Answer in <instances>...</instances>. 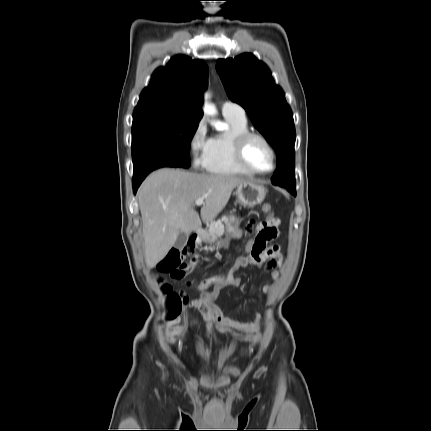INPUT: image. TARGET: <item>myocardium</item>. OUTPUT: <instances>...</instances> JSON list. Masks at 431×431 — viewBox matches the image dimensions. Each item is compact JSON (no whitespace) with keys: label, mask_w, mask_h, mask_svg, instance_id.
Masks as SVG:
<instances>
[{"label":"myocardium","mask_w":431,"mask_h":431,"mask_svg":"<svg viewBox=\"0 0 431 431\" xmlns=\"http://www.w3.org/2000/svg\"><path fill=\"white\" fill-rule=\"evenodd\" d=\"M252 139H259L261 140L269 149L271 156H272V166L269 170H265V171H261V170H257L252 168L246 161L245 159V148L247 143L252 140ZM233 155H234V159L236 161V163L246 172L250 173V174H257V175H266L269 173H272L277 166V154L276 151L273 147V145L270 143V141L263 136L260 133H256V132H245L242 133L240 135H238L233 143Z\"/></svg>","instance_id":"obj_1"}]
</instances>
